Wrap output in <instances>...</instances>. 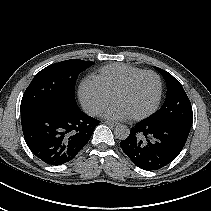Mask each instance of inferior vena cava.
<instances>
[{"label":"inferior vena cava","mask_w":211,"mask_h":211,"mask_svg":"<svg viewBox=\"0 0 211 211\" xmlns=\"http://www.w3.org/2000/svg\"><path fill=\"white\" fill-rule=\"evenodd\" d=\"M97 112H98V111H97V109H96L94 113H97Z\"/></svg>","instance_id":"602c4592"}]
</instances>
